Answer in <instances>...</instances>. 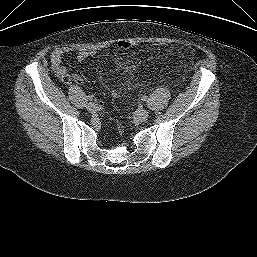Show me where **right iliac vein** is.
I'll list each match as a JSON object with an SVG mask.
<instances>
[{
    "instance_id": "1",
    "label": "right iliac vein",
    "mask_w": 257,
    "mask_h": 257,
    "mask_svg": "<svg viewBox=\"0 0 257 257\" xmlns=\"http://www.w3.org/2000/svg\"><path fill=\"white\" fill-rule=\"evenodd\" d=\"M86 109H87L89 112L94 113V112L97 111V106H96L94 103L90 102V103H88V104L86 105Z\"/></svg>"
}]
</instances>
